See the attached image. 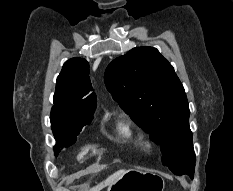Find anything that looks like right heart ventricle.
<instances>
[{"label":"right heart ventricle","mask_w":233,"mask_h":191,"mask_svg":"<svg viewBox=\"0 0 233 191\" xmlns=\"http://www.w3.org/2000/svg\"><path fill=\"white\" fill-rule=\"evenodd\" d=\"M116 134L121 140H138L140 135L136 128L125 119L119 120L116 124Z\"/></svg>","instance_id":"obj_1"}]
</instances>
